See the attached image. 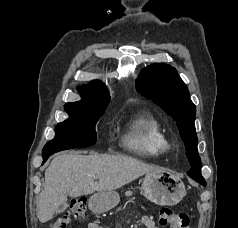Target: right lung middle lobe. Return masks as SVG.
Instances as JSON below:
<instances>
[{"label": "right lung middle lobe", "instance_id": "right-lung-middle-lobe-1", "mask_svg": "<svg viewBox=\"0 0 238 228\" xmlns=\"http://www.w3.org/2000/svg\"><path fill=\"white\" fill-rule=\"evenodd\" d=\"M107 105L108 103L97 105L89 113L68 112L69 118L57 125L55 137L44 146L43 153L94 145L97 138L95 125Z\"/></svg>", "mask_w": 238, "mask_h": 228}]
</instances>
